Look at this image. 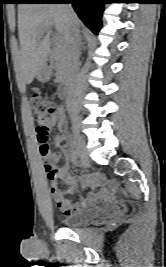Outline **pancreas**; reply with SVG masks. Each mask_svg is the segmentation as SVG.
I'll return each instance as SVG.
<instances>
[{
    "mask_svg": "<svg viewBox=\"0 0 166 267\" xmlns=\"http://www.w3.org/2000/svg\"><path fill=\"white\" fill-rule=\"evenodd\" d=\"M54 65L55 76L57 80L64 79L69 72V62L67 58V48L65 46L58 45L54 51Z\"/></svg>",
    "mask_w": 166,
    "mask_h": 267,
    "instance_id": "obj_1",
    "label": "pancreas"
}]
</instances>
